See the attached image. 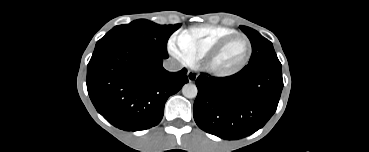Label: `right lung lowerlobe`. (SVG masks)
<instances>
[{
	"label": "right lung lower lobe",
	"mask_w": 369,
	"mask_h": 152,
	"mask_svg": "<svg viewBox=\"0 0 369 152\" xmlns=\"http://www.w3.org/2000/svg\"><path fill=\"white\" fill-rule=\"evenodd\" d=\"M146 46L114 42L94 50L87 67V90L98 113L125 131L156 126L168 97L188 82L187 70L168 72Z\"/></svg>",
	"instance_id": "right-lung-lower-lobe-1"
}]
</instances>
